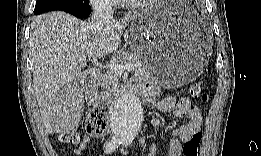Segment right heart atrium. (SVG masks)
<instances>
[{
  "label": "right heart atrium",
  "instance_id": "1",
  "mask_svg": "<svg viewBox=\"0 0 261 156\" xmlns=\"http://www.w3.org/2000/svg\"><path fill=\"white\" fill-rule=\"evenodd\" d=\"M99 7L111 8L114 5L113 1H103L96 4Z\"/></svg>",
  "mask_w": 261,
  "mask_h": 156
}]
</instances>
